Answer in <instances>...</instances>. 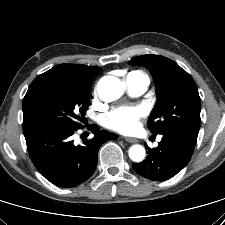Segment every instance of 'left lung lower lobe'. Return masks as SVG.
<instances>
[{"instance_id": "1", "label": "left lung lower lobe", "mask_w": 225, "mask_h": 225, "mask_svg": "<svg viewBox=\"0 0 225 225\" xmlns=\"http://www.w3.org/2000/svg\"><path fill=\"white\" fill-rule=\"evenodd\" d=\"M161 135L158 147L146 146V159L132 164L138 174L154 181L168 180L180 172L190 161L197 140V137L173 131H164Z\"/></svg>"}]
</instances>
